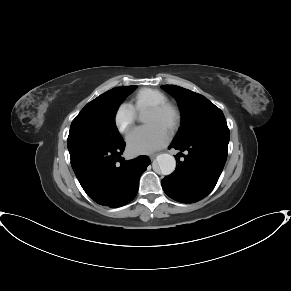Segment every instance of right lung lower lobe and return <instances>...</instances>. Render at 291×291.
<instances>
[{
    "label": "right lung lower lobe",
    "mask_w": 291,
    "mask_h": 291,
    "mask_svg": "<svg viewBox=\"0 0 291 291\" xmlns=\"http://www.w3.org/2000/svg\"><path fill=\"white\" fill-rule=\"evenodd\" d=\"M125 142L109 146L92 142L68 143L71 165L87 195L111 208L132 201L139 179L150 164L147 156L125 161L121 155Z\"/></svg>",
    "instance_id": "1"
}]
</instances>
